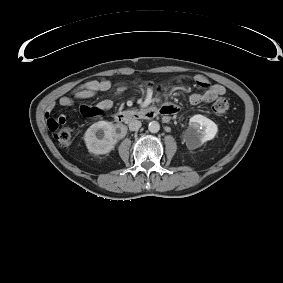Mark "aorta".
<instances>
[{"mask_svg":"<svg viewBox=\"0 0 283 283\" xmlns=\"http://www.w3.org/2000/svg\"><path fill=\"white\" fill-rule=\"evenodd\" d=\"M148 130L151 133H157L160 130V124L157 121H151L148 125Z\"/></svg>","mask_w":283,"mask_h":283,"instance_id":"1","label":"aorta"}]
</instances>
